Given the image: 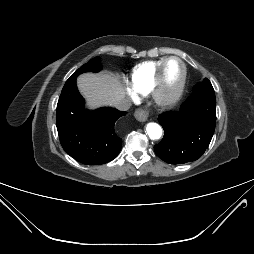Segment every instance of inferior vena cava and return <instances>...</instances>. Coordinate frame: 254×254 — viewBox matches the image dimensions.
Returning <instances> with one entry per match:
<instances>
[{
  "label": "inferior vena cava",
  "mask_w": 254,
  "mask_h": 254,
  "mask_svg": "<svg viewBox=\"0 0 254 254\" xmlns=\"http://www.w3.org/2000/svg\"><path fill=\"white\" fill-rule=\"evenodd\" d=\"M112 105L118 110L127 111L130 108L131 103L128 99L122 98L114 101Z\"/></svg>",
  "instance_id": "1"
}]
</instances>
